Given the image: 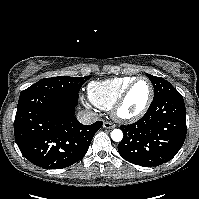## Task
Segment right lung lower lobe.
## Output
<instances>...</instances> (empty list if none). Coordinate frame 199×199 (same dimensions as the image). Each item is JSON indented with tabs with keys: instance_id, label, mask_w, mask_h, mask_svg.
Segmentation results:
<instances>
[{
	"instance_id": "obj_1",
	"label": "right lung lower lobe",
	"mask_w": 199,
	"mask_h": 199,
	"mask_svg": "<svg viewBox=\"0 0 199 199\" xmlns=\"http://www.w3.org/2000/svg\"><path fill=\"white\" fill-rule=\"evenodd\" d=\"M78 98L35 92L20 96L14 124L16 143L33 164L59 169L79 161L103 125L75 117Z\"/></svg>"
}]
</instances>
